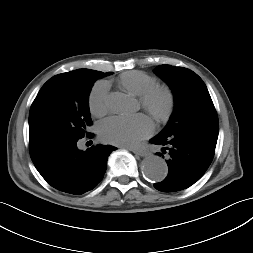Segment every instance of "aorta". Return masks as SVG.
Returning <instances> with one entry per match:
<instances>
[{"mask_svg": "<svg viewBox=\"0 0 253 253\" xmlns=\"http://www.w3.org/2000/svg\"><path fill=\"white\" fill-rule=\"evenodd\" d=\"M111 110L118 113H124L131 109L132 100L126 94L121 92H113L107 100ZM143 176L152 182L163 181L168 173L166 162L159 156L150 155L142 162Z\"/></svg>", "mask_w": 253, "mask_h": 253, "instance_id": "aorta-1", "label": "aorta"}]
</instances>
